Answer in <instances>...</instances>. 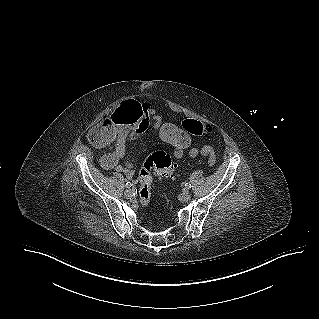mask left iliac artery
<instances>
[{"mask_svg":"<svg viewBox=\"0 0 319 319\" xmlns=\"http://www.w3.org/2000/svg\"><path fill=\"white\" fill-rule=\"evenodd\" d=\"M185 188H187V189H189V188H191V184H189V183H185Z\"/></svg>","mask_w":319,"mask_h":319,"instance_id":"44dca946","label":"left iliac artery"}]
</instances>
